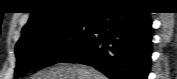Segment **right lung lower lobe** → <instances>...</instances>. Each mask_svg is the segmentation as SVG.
<instances>
[{
  "mask_svg": "<svg viewBox=\"0 0 177 79\" xmlns=\"http://www.w3.org/2000/svg\"><path fill=\"white\" fill-rule=\"evenodd\" d=\"M149 11L135 6L106 8L89 37L60 62L95 67L110 79H147L151 60Z\"/></svg>",
  "mask_w": 177,
  "mask_h": 79,
  "instance_id": "right-lung-lower-lobe-1",
  "label": "right lung lower lobe"
}]
</instances>
